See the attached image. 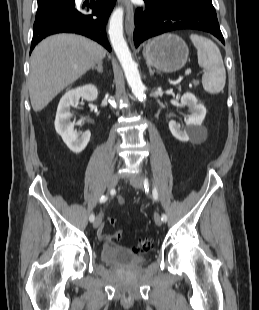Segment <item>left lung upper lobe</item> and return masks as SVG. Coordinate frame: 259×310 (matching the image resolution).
<instances>
[{"instance_id":"left-lung-upper-lobe-1","label":"left lung upper lobe","mask_w":259,"mask_h":310,"mask_svg":"<svg viewBox=\"0 0 259 310\" xmlns=\"http://www.w3.org/2000/svg\"><path fill=\"white\" fill-rule=\"evenodd\" d=\"M164 3H170V4H180V3H185V2H191V1H209L211 0H158Z\"/></svg>"}]
</instances>
